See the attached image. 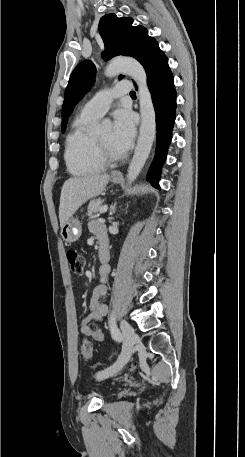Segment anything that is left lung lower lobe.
Segmentation results:
<instances>
[{
    "mask_svg": "<svg viewBox=\"0 0 245 457\" xmlns=\"http://www.w3.org/2000/svg\"><path fill=\"white\" fill-rule=\"evenodd\" d=\"M156 113L157 145L147 180L159 189L162 164L172 139L176 118V90L168 59L160 49L151 52L142 62Z\"/></svg>",
    "mask_w": 245,
    "mask_h": 457,
    "instance_id": "obj_1",
    "label": "left lung lower lobe"
}]
</instances>
